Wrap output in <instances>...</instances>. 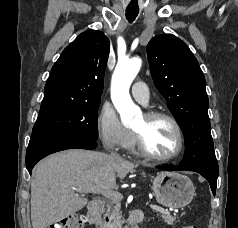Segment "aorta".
<instances>
[{
    "mask_svg": "<svg viewBox=\"0 0 238 228\" xmlns=\"http://www.w3.org/2000/svg\"><path fill=\"white\" fill-rule=\"evenodd\" d=\"M140 58L119 61L112 76L111 99L123 124H129L140 109L133 103L129 88L141 68Z\"/></svg>",
    "mask_w": 238,
    "mask_h": 228,
    "instance_id": "aorta-1",
    "label": "aorta"
}]
</instances>
